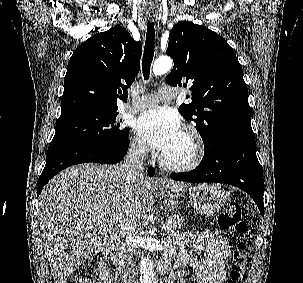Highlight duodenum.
<instances>
[{"label": "duodenum", "instance_id": "410a0bca", "mask_svg": "<svg viewBox=\"0 0 303 283\" xmlns=\"http://www.w3.org/2000/svg\"><path fill=\"white\" fill-rule=\"evenodd\" d=\"M117 252L114 248H109L106 252V256L108 259H115ZM157 271L165 276V283H175L174 279L171 277L170 272V261L166 259H162L156 264ZM120 283H130V280L127 278L126 275H122L120 277Z\"/></svg>", "mask_w": 303, "mask_h": 283}]
</instances>
